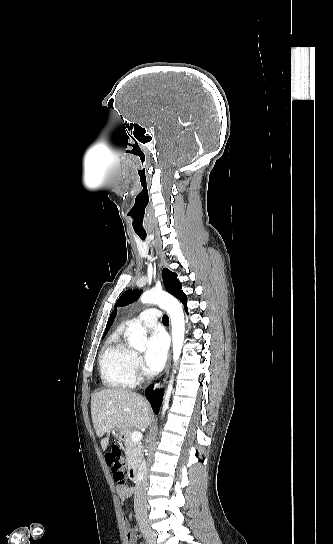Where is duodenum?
<instances>
[{
	"label": "duodenum",
	"mask_w": 333,
	"mask_h": 544,
	"mask_svg": "<svg viewBox=\"0 0 333 544\" xmlns=\"http://www.w3.org/2000/svg\"><path fill=\"white\" fill-rule=\"evenodd\" d=\"M128 476L129 478L134 481V482H137L139 481L140 479V473H139V470L136 466H131L129 469H128Z\"/></svg>",
	"instance_id": "410a0bca"
}]
</instances>
